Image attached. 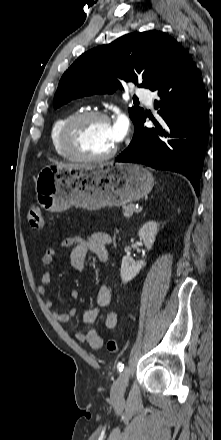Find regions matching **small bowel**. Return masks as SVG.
<instances>
[{
    "mask_svg": "<svg viewBox=\"0 0 221 440\" xmlns=\"http://www.w3.org/2000/svg\"><path fill=\"white\" fill-rule=\"evenodd\" d=\"M111 242L108 234L98 232L90 236L88 239H83L79 236H72L65 238L58 248H50L46 250L41 259L42 274L41 284L38 287V293L44 298L48 308L56 307V302L48 295V288L51 285L50 266L57 252L60 249L73 247L70 254V265L77 271L86 269V256L88 251L93 252L101 260L108 259L107 245ZM73 299L79 298V292L73 290L71 292ZM112 301V291L108 285H103L97 294V307L91 308L84 313L83 320L86 324L94 323L98 316L100 308H106ZM76 314V310L70 309L67 312L54 313V317L61 323H67ZM104 325L108 330H113L117 326V314L115 312H108L104 318ZM76 338L81 343L88 344L93 349H99L103 345V339L96 329H90L86 332H78Z\"/></svg>",
    "mask_w": 221,
    "mask_h": 440,
    "instance_id": "obj_1",
    "label": "small bowel"
}]
</instances>
